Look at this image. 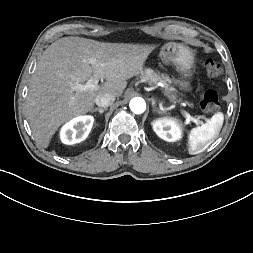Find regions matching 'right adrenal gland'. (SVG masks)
Masks as SVG:
<instances>
[{
    "mask_svg": "<svg viewBox=\"0 0 253 253\" xmlns=\"http://www.w3.org/2000/svg\"><path fill=\"white\" fill-rule=\"evenodd\" d=\"M108 108L105 107V108H94L91 110V112H99L100 114H103L104 111H106Z\"/></svg>",
    "mask_w": 253,
    "mask_h": 253,
    "instance_id": "2a0ac1e0",
    "label": "right adrenal gland"
}]
</instances>
